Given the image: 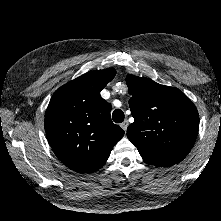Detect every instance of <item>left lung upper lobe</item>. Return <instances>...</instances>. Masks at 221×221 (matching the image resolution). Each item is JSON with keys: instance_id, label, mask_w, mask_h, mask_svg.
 I'll return each mask as SVG.
<instances>
[{"instance_id": "obj_1", "label": "left lung upper lobe", "mask_w": 221, "mask_h": 221, "mask_svg": "<svg viewBox=\"0 0 221 221\" xmlns=\"http://www.w3.org/2000/svg\"><path fill=\"white\" fill-rule=\"evenodd\" d=\"M134 122L128 139L147 164L168 167L182 161L193 147L199 115L192 101L179 89L148 78L126 77Z\"/></svg>"}]
</instances>
